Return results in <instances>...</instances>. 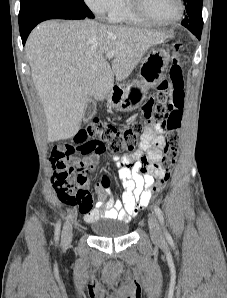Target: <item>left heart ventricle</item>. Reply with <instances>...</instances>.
Instances as JSON below:
<instances>
[{
    "mask_svg": "<svg viewBox=\"0 0 227 298\" xmlns=\"http://www.w3.org/2000/svg\"><path fill=\"white\" fill-rule=\"evenodd\" d=\"M144 6L150 16L160 21H168L178 12L176 0H144Z\"/></svg>",
    "mask_w": 227,
    "mask_h": 298,
    "instance_id": "obj_1",
    "label": "left heart ventricle"
}]
</instances>
